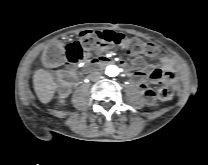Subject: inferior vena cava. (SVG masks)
I'll return each mask as SVG.
<instances>
[{
  "mask_svg": "<svg viewBox=\"0 0 208 165\" xmlns=\"http://www.w3.org/2000/svg\"><path fill=\"white\" fill-rule=\"evenodd\" d=\"M89 77L91 80L96 81L102 78V74L100 72H93L89 75Z\"/></svg>",
  "mask_w": 208,
  "mask_h": 165,
  "instance_id": "602c4592",
  "label": "inferior vena cava"
}]
</instances>
